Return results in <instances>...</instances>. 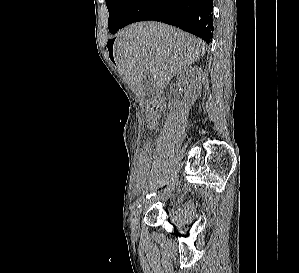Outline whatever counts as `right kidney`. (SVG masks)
Segmentation results:
<instances>
[{"label": "right kidney", "instance_id": "1", "mask_svg": "<svg viewBox=\"0 0 299 273\" xmlns=\"http://www.w3.org/2000/svg\"><path fill=\"white\" fill-rule=\"evenodd\" d=\"M201 68L199 67H190L187 69H184L178 76V80L180 82H183L185 84V98H184V103H193L195 99L197 98L198 94L200 93L201 90V82L200 80L193 81L191 83H188L187 80L190 78H197L201 75ZM175 103H179L176 101Z\"/></svg>", "mask_w": 299, "mask_h": 273}]
</instances>
